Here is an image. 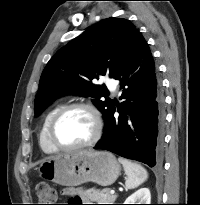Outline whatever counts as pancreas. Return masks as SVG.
Listing matches in <instances>:
<instances>
[{"mask_svg":"<svg viewBox=\"0 0 200 205\" xmlns=\"http://www.w3.org/2000/svg\"><path fill=\"white\" fill-rule=\"evenodd\" d=\"M85 199L97 202L98 204H112L116 198V194H111L110 189L95 190L92 193H83Z\"/></svg>","mask_w":200,"mask_h":205,"instance_id":"1","label":"pancreas"}]
</instances>
